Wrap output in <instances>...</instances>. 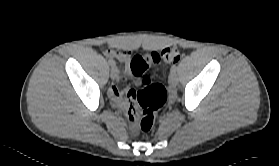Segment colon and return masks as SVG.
<instances>
[{"mask_svg":"<svg viewBox=\"0 0 279 166\" xmlns=\"http://www.w3.org/2000/svg\"><path fill=\"white\" fill-rule=\"evenodd\" d=\"M180 58L181 53L178 48L167 47L161 52L136 55L131 60L130 70L132 74L139 77L144 85V88L137 92L138 100L136 102L142 111L139 126L143 132H149L153 128L157 113L167 99L165 87L160 84L152 83L151 78L146 72L154 63L163 61L171 64L178 62Z\"/></svg>","mask_w":279,"mask_h":166,"instance_id":"obj_1","label":"colon"}]
</instances>
